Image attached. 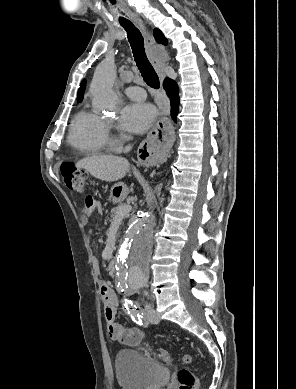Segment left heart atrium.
I'll return each instance as SVG.
<instances>
[{"instance_id":"39dd6f15","label":"left heart atrium","mask_w":296,"mask_h":389,"mask_svg":"<svg viewBox=\"0 0 296 389\" xmlns=\"http://www.w3.org/2000/svg\"><path fill=\"white\" fill-rule=\"evenodd\" d=\"M157 111L147 103H131L122 111L121 122L123 128L134 134L146 132L154 123Z\"/></svg>"}]
</instances>
